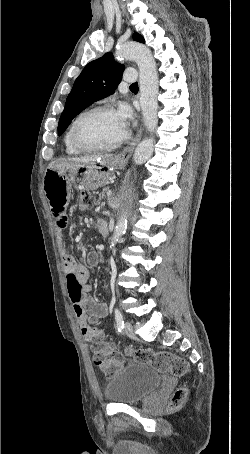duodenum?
<instances>
[{"label":"duodenum","mask_w":250,"mask_h":454,"mask_svg":"<svg viewBox=\"0 0 250 454\" xmlns=\"http://www.w3.org/2000/svg\"><path fill=\"white\" fill-rule=\"evenodd\" d=\"M102 235L106 236L108 234V227L104 223V227L100 229Z\"/></svg>","instance_id":"410a0bca"}]
</instances>
